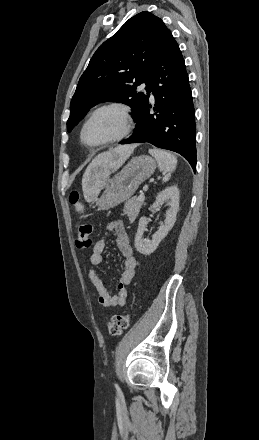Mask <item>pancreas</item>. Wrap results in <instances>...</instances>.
<instances>
[{"label":"pancreas","mask_w":259,"mask_h":440,"mask_svg":"<svg viewBox=\"0 0 259 440\" xmlns=\"http://www.w3.org/2000/svg\"><path fill=\"white\" fill-rule=\"evenodd\" d=\"M142 204L143 202L139 201L138 197H132L125 202L123 211L130 219H134L138 215Z\"/></svg>","instance_id":"cf45deb5"}]
</instances>
